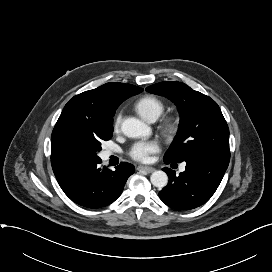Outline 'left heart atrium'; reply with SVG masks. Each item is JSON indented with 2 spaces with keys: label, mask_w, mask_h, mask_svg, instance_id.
I'll list each match as a JSON object with an SVG mask.
<instances>
[{
  "label": "left heart atrium",
  "mask_w": 272,
  "mask_h": 272,
  "mask_svg": "<svg viewBox=\"0 0 272 272\" xmlns=\"http://www.w3.org/2000/svg\"><path fill=\"white\" fill-rule=\"evenodd\" d=\"M160 150V145L155 140L138 141L133 144L129 155L136 161L148 162L151 156Z\"/></svg>",
  "instance_id": "obj_1"
}]
</instances>
